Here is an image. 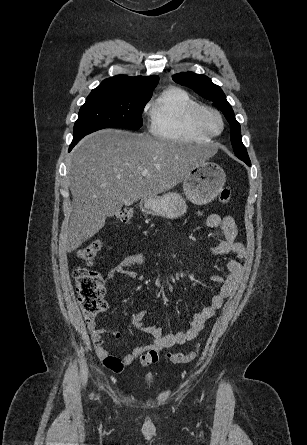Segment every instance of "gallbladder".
<instances>
[{"instance_id":"gallbladder-1","label":"gallbladder","mask_w":307,"mask_h":445,"mask_svg":"<svg viewBox=\"0 0 307 445\" xmlns=\"http://www.w3.org/2000/svg\"><path fill=\"white\" fill-rule=\"evenodd\" d=\"M123 202L120 200L119 196H112L111 200L107 202L106 207V216L109 219H114L117 216L116 212H120L123 209Z\"/></svg>"}]
</instances>
